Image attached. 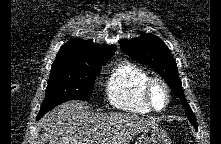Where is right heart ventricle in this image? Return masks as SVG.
<instances>
[{
    "label": "right heart ventricle",
    "mask_w": 221,
    "mask_h": 144,
    "mask_svg": "<svg viewBox=\"0 0 221 144\" xmlns=\"http://www.w3.org/2000/svg\"><path fill=\"white\" fill-rule=\"evenodd\" d=\"M149 73L132 62H121L111 71L106 94L110 104L120 110L146 114L151 111L144 100V85Z\"/></svg>",
    "instance_id": "obj_1"
}]
</instances>
